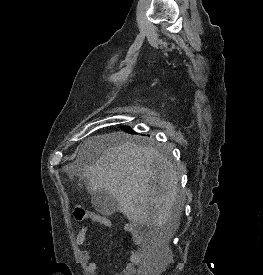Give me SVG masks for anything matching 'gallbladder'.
I'll return each mask as SVG.
<instances>
[{
  "label": "gallbladder",
  "instance_id": "1",
  "mask_svg": "<svg viewBox=\"0 0 263 275\" xmlns=\"http://www.w3.org/2000/svg\"><path fill=\"white\" fill-rule=\"evenodd\" d=\"M92 205L102 215L109 216L119 211L116 199L105 189L92 192Z\"/></svg>",
  "mask_w": 263,
  "mask_h": 275
}]
</instances>
